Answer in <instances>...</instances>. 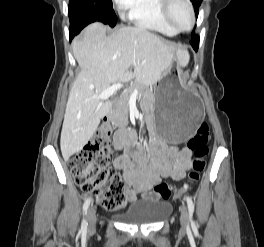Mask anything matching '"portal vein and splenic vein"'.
I'll return each mask as SVG.
<instances>
[{
	"label": "portal vein and splenic vein",
	"instance_id": "obj_1",
	"mask_svg": "<svg viewBox=\"0 0 264 247\" xmlns=\"http://www.w3.org/2000/svg\"><path fill=\"white\" fill-rule=\"evenodd\" d=\"M122 87H123V83L121 82L113 84L112 86L104 90L102 93H100L98 96H94V98L99 100H106Z\"/></svg>",
	"mask_w": 264,
	"mask_h": 247
}]
</instances>
